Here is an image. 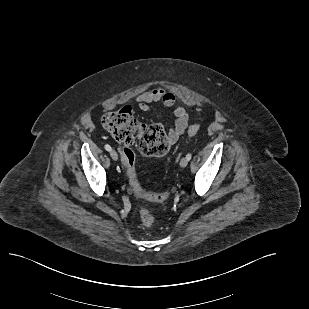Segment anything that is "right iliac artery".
<instances>
[{
  "label": "right iliac artery",
  "instance_id": "82829eb1",
  "mask_svg": "<svg viewBox=\"0 0 309 309\" xmlns=\"http://www.w3.org/2000/svg\"><path fill=\"white\" fill-rule=\"evenodd\" d=\"M105 149H106L107 151H111V150H112L111 146L108 145V144L105 145Z\"/></svg>",
  "mask_w": 309,
  "mask_h": 309
}]
</instances>
